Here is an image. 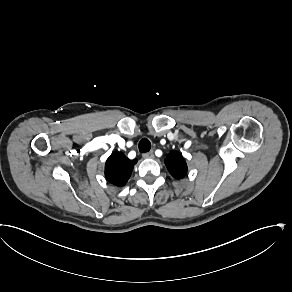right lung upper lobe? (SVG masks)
I'll return each mask as SVG.
<instances>
[{"label": "right lung upper lobe", "mask_w": 292, "mask_h": 292, "mask_svg": "<svg viewBox=\"0 0 292 292\" xmlns=\"http://www.w3.org/2000/svg\"><path fill=\"white\" fill-rule=\"evenodd\" d=\"M137 159L130 160L122 152L112 153L105 164V177L116 186H124L131 176Z\"/></svg>", "instance_id": "right-lung-upper-lobe-1"}]
</instances>
